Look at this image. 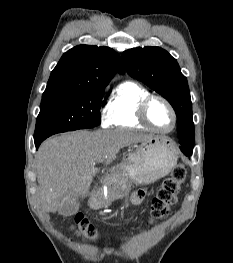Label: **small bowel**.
I'll return each instance as SVG.
<instances>
[{
  "mask_svg": "<svg viewBox=\"0 0 233 263\" xmlns=\"http://www.w3.org/2000/svg\"><path fill=\"white\" fill-rule=\"evenodd\" d=\"M144 196H145V190L143 189L137 190L132 196V202L134 204H139L143 200Z\"/></svg>",
  "mask_w": 233,
  "mask_h": 263,
  "instance_id": "c3829d8e",
  "label": "small bowel"
}]
</instances>
